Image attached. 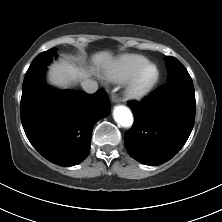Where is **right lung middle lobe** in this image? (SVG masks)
I'll return each instance as SVG.
<instances>
[{
	"instance_id": "dd1d6c3e",
	"label": "right lung middle lobe",
	"mask_w": 222,
	"mask_h": 222,
	"mask_svg": "<svg viewBox=\"0 0 222 222\" xmlns=\"http://www.w3.org/2000/svg\"><path fill=\"white\" fill-rule=\"evenodd\" d=\"M55 54V49H50L48 51L40 53L33 60L26 72V76L22 86V92H26L33 87L43 85V75L46 66L49 64Z\"/></svg>"
}]
</instances>
